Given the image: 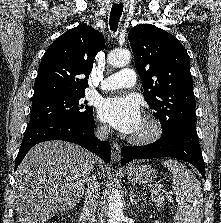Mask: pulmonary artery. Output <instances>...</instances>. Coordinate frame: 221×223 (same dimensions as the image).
<instances>
[{"mask_svg": "<svg viewBox=\"0 0 221 223\" xmlns=\"http://www.w3.org/2000/svg\"><path fill=\"white\" fill-rule=\"evenodd\" d=\"M136 81V72L131 68H125L105 77L101 81V89L113 90L122 87H132L136 84Z\"/></svg>", "mask_w": 221, "mask_h": 223, "instance_id": "pulmonary-artery-1", "label": "pulmonary artery"}]
</instances>
